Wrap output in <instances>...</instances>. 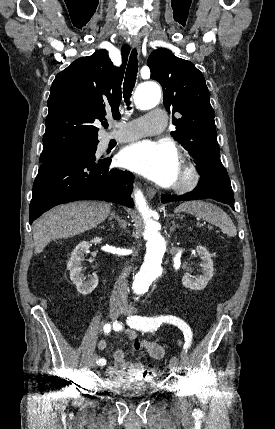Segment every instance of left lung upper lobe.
<instances>
[{
    "label": "left lung upper lobe",
    "mask_w": 275,
    "mask_h": 429,
    "mask_svg": "<svg viewBox=\"0 0 275 429\" xmlns=\"http://www.w3.org/2000/svg\"><path fill=\"white\" fill-rule=\"evenodd\" d=\"M151 78L163 88L166 109L176 130L171 135L194 158L199 172L218 171L223 167L216 138L215 113L204 76L193 63L176 57L170 50H154L147 61Z\"/></svg>",
    "instance_id": "5c2ea615"
}]
</instances>
